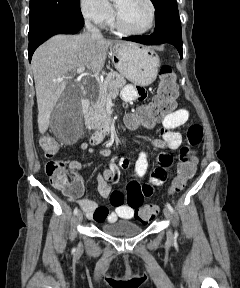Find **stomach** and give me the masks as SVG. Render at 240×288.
<instances>
[{"label":"stomach","mask_w":240,"mask_h":288,"mask_svg":"<svg viewBox=\"0 0 240 288\" xmlns=\"http://www.w3.org/2000/svg\"><path fill=\"white\" fill-rule=\"evenodd\" d=\"M111 60L121 75L139 86L150 85L160 65L158 55L151 48L130 42L116 43Z\"/></svg>","instance_id":"obj_1"}]
</instances>
